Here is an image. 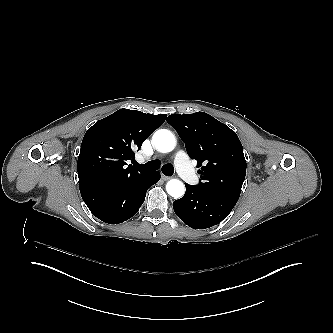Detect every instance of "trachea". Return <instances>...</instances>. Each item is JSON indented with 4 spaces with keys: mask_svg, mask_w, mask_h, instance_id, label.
Masks as SVG:
<instances>
[{
    "mask_svg": "<svg viewBox=\"0 0 333 333\" xmlns=\"http://www.w3.org/2000/svg\"><path fill=\"white\" fill-rule=\"evenodd\" d=\"M160 166V162L158 160L149 161L146 164H138L137 162L134 163V167L139 170L145 171H155L158 170ZM162 172L166 176H172L174 173V167L170 164L164 165L162 167Z\"/></svg>",
    "mask_w": 333,
    "mask_h": 333,
    "instance_id": "3493384b",
    "label": "trachea"
}]
</instances>
